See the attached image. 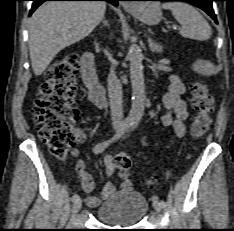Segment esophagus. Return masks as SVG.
Segmentation results:
<instances>
[{"mask_svg":"<svg viewBox=\"0 0 234 231\" xmlns=\"http://www.w3.org/2000/svg\"><path fill=\"white\" fill-rule=\"evenodd\" d=\"M124 8H125V9H136L137 6L134 5V4L126 3V4H124Z\"/></svg>","mask_w":234,"mask_h":231,"instance_id":"obj_1","label":"esophagus"}]
</instances>
